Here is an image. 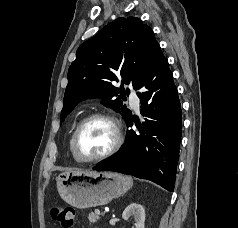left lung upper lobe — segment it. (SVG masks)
I'll return each instance as SVG.
<instances>
[{"label":"left lung upper lobe","mask_w":238,"mask_h":228,"mask_svg":"<svg viewBox=\"0 0 238 228\" xmlns=\"http://www.w3.org/2000/svg\"><path fill=\"white\" fill-rule=\"evenodd\" d=\"M159 47L152 29L139 18H118L106 25L78 48L69 67L61 122L79 102L91 98L102 99V104L120 112L126 121L132 113L123 105L125 89L112 82L121 80L137 89Z\"/></svg>","instance_id":"5c2ea615"}]
</instances>
